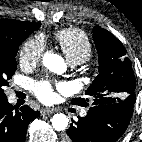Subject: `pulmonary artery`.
<instances>
[{
	"label": "pulmonary artery",
	"instance_id": "e3ab8cb5",
	"mask_svg": "<svg viewBox=\"0 0 142 142\" xmlns=\"http://www.w3.org/2000/svg\"><path fill=\"white\" fill-rule=\"evenodd\" d=\"M71 65H76V63H70ZM10 100H14V94H11L10 95ZM80 115L82 116V117H85L86 115H87V112H86V110H83L81 113H80Z\"/></svg>",
	"mask_w": 142,
	"mask_h": 142
}]
</instances>
